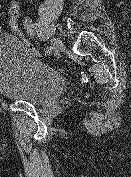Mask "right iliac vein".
Masks as SVG:
<instances>
[{
	"instance_id": "63e3f726",
	"label": "right iliac vein",
	"mask_w": 131,
	"mask_h": 177,
	"mask_svg": "<svg viewBox=\"0 0 131 177\" xmlns=\"http://www.w3.org/2000/svg\"><path fill=\"white\" fill-rule=\"evenodd\" d=\"M51 43L53 48L57 51L62 50L64 48L62 41L58 38H52Z\"/></svg>"
}]
</instances>
